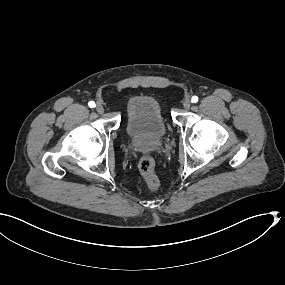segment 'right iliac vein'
<instances>
[{
    "instance_id": "obj_1",
    "label": "right iliac vein",
    "mask_w": 285,
    "mask_h": 285,
    "mask_svg": "<svg viewBox=\"0 0 285 285\" xmlns=\"http://www.w3.org/2000/svg\"><path fill=\"white\" fill-rule=\"evenodd\" d=\"M96 110L99 114H102L104 112V107L100 103H98L96 106Z\"/></svg>"
}]
</instances>
